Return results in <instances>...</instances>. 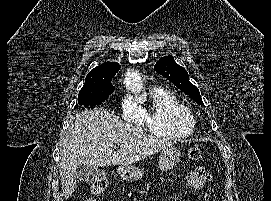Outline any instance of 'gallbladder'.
Listing matches in <instances>:
<instances>
[{"label":"gallbladder","instance_id":"1","mask_svg":"<svg viewBox=\"0 0 271 201\" xmlns=\"http://www.w3.org/2000/svg\"><path fill=\"white\" fill-rule=\"evenodd\" d=\"M102 174L103 170L99 169L98 167L81 164L76 168V178L87 183L98 181Z\"/></svg>","mask_w":271,"mask_h":201}]
</instances>
